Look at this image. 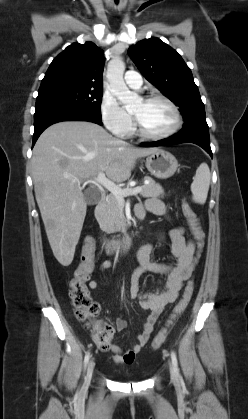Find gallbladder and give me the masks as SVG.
I'll return each mask as SVG.
<instances>
[{
	"instance_id": "bac80fb5",
	"label": "gallbladder",
	"mask_w": 248,
	"mask_h": 419,
	"mask_svg": "<svg viewBox=\"0 0 248 419\" xmlns=\"http://www.w3.org/2000/svg\"><path fill=\"white\" fill-rule=\"evenodd\" d=\"M101 194L97 189H88L84 192V199L88 205H95L99 202Z\"/></svg>"
}]
</instances>
